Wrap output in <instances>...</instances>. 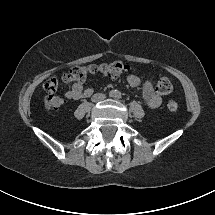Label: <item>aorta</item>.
Masks as SVG:
<instances>
[{
  "label": "aorta",
  "mask_w": 215,
  "mask_h": 215,
  "mask_svg": "<svg viewBox=\"0 0 215 215\" xmlns=\"http://www.w3.org/2000/svg\"><path fill=\"white\" fill-rule=\"evenodd\" d=\"M113 93L118 94L119 92H113Z\"/></svg>",
  "instance_id": "aorta-1"
}]
</instances>
